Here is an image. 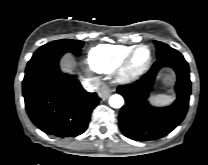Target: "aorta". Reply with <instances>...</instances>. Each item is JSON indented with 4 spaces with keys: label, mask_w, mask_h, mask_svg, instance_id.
<instances>
[{
    "label": "aorta",
    "mask_w": 208,
    "mask_h": 165,
    "mask_svg": "<svg viewBox=\"0 0 208 165\" xmlns=\"http://www.w3.org/2000/svg\"><path fill=\"white\" fill-rule=\"evenodd\" d=\"M124 104V99L121 95L119 94H114L109 98V105L112 108H121Z\"/></svg>",
    "instance_id": "aorta-1"
}]
</instances>
